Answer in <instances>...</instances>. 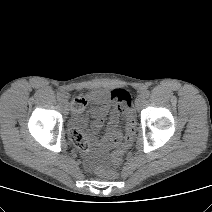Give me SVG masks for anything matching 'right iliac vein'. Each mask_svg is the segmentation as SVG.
Segmentation results:
<instances>
[{
  "instance_id": "63e3f726",
  "label": "right iliac vein",
  "mask_w": 212,
  "mask_h": 212,
  "mask_svg": "<svg viewBox=\"0 0 212 212\" xmlns=\"http://www.w3.org/2000/svg\"><path fill=\"white\" fill-rule=\"evenodd\" d=\"M61 103L63 105L65 113L68 114L69 108H68V103H67L66 97H63V99L61 100Z\"/></svg>"
}]
</instances>
